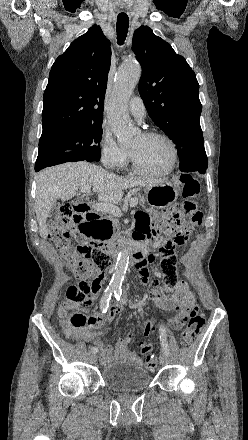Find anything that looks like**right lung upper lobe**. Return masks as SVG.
I'll return each instance as SVG.
<instances>
[{"label": "right lung upper lobe", "instance_id": "right-lung-upper-lobe-1", "mask_svg": "<svg viewBox=\"0 0 248 440\" xmlns=\"http://www.w3.org/2000/svg\"><path fill=\"white\" fill-rule=\"evenodd\" d=\"M111 49L93 25L52 65L43 95V135L102 123Z\"/></svg>", "mask_w": 248, "mask_h": 440}]
</instances>
